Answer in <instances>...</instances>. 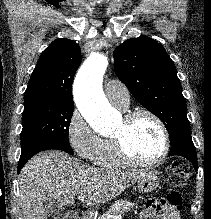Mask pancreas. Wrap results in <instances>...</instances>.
<instances>
[{"instance_id":"obj_1","label":"pancreas","mask_w":211,"mask_h":219,"mask_svg":"<svg viewBox=\"0 0 211 219\" xmlns=\"http://www.w3.org/2000/svg\"><path fill=\"white\" fill-rule=\"evenodd\" d=\"M135 206L134 203L124 199H119L111 206V208L104 214L98 217V219H112V217L127 213Z\"/></svg>"}]
</instances>
